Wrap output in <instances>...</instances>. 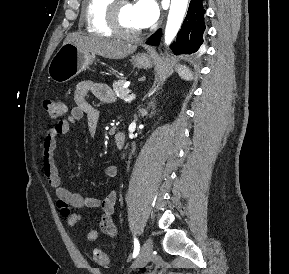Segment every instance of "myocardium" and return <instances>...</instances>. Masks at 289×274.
<instances>
[{
	"label": "myocardium",
	"instance_id": "obj_1",
	"mask_svg": "<svg viewBox=\"0 0 289 274\" xmlns=\"http://www.w3.org/2000/svg\"><path fill=\"white\" fill-rule=\"evenodd\" d=\"M128 0H112L108 7L107 22L114 35L124 39H134L142 35V30L129 31L123 27L120 21V8Z\"/></svg>",
	"mask_w": 289,
	"mask_h": 274
}]
</instances>
